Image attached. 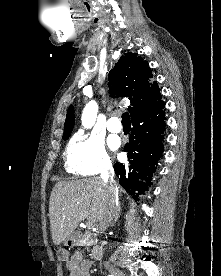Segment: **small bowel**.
<instances>
[{"label": "small bowel", "mask_w": 221, "mask_h": 276, "mask_svg": "<svg viewBox=\"0 0 221 276\" xmlns=\"http://www.w3.org/2000/svg\"><path fill=\"white\" fill-rule=\"evenodd\" d=\"M92 261L85 259L80 252H75L66 264L69 276H90Z\"/></svg>", "instance_id": "c3829d8e"}]
</instances>
